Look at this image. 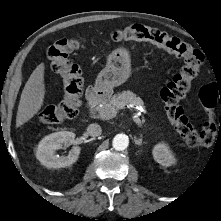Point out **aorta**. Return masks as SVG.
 <instances>
[{
  "label": "aorta",
  "mask_w": 221,
  "mask_h": 221,
  "mask_svg": "<svg viewBox=\"0 0 221 221\" xmlns=\"http://www.w3.org/2000/svg\"><path fill=\"white\" fill-rule=\"evenodd\" d=\"M113 148L117 151L125 150L129 145V138L125 134H117L112 141Z\"/></svg>",
  "instance_id": "obj_1"
}]
</instances>
